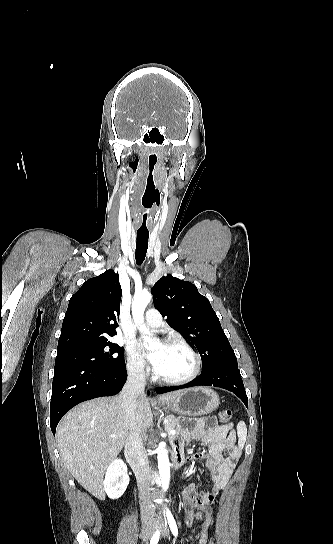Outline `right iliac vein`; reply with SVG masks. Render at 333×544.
Masks as SVG:
<instances>
[{
  "label": "right iliac vein",
  "mask_w": 333,
  "mask_h": 544,
  "mask_svg": "<svg viewBox=\"0 0 333 544\" xmlns=\"http://www.w3.org/2000/svg\"><path fill=\"white\" fill-rule=\"evenodd\" d=\"M153 532H154V527L151 523H146L144 526H143V530H142V534H143V539L145 541H148L152 535H153Z\"/></svg>",
  "instance_id": "1"
}]
</instances>
